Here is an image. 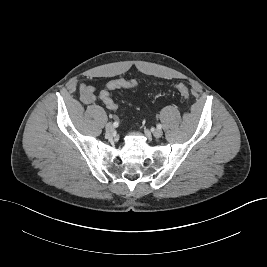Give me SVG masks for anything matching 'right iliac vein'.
I'll use <instances>...</instances> for the list:
<instances>
[{
    "instance_id": "63e3f726",
    "label": "right iliac vein",
    "mask_w": 267,
    "mask_h": 267,
    "mask_svg": "<svg viewBox=\"0 0 267 267\" xmlns=\"http://www.w3.org/2000/svg\"><path fill=\"white\" fill-rule=\"evenodd\" d=\"M105 129L108 134H111L114 131V126L112 123H107Z\"/></svg>"
}]
</instances>
